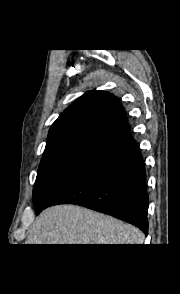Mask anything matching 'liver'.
Masks as SVG:
<instances>
[{
  "instance_id": "6515ba94",
  "label": "liver",
  "mask_w": 180,
  "mask_h": 294,
  "mask_svg": "<svg viewBox=\"0 0 180 294\" xmlns=\"http://www.w3.org/2000/svg\"><path fill=\"white\" fill-rule=\"evenodd\" d=\"M138 228L76 205H57L34 221L26 244H142Z\"/></svg>"
}]
</instances>
